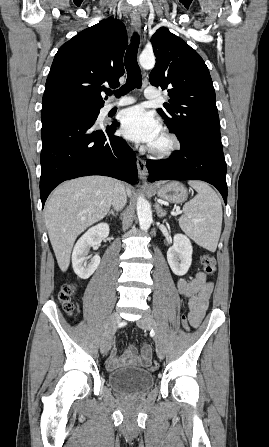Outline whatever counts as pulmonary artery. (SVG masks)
Listing matches in <instances>:
<instances>
[{"label": "pulmonary artery", "mask_w": 269, "mask_h": 447, "mask_svg": "<svg viewBox=\"0 0 269 447\" xmlns=\"http://www.w3.org/2000/svg\"><path fill=\"white\" fill-rule=\"evenodd\" d=\"M144 96L147 99H154L159 96V93L154 87L149 86L144 90ZM135 102H136V98H134L132 96H128V95L121 96L111 102L106 103V105L104 106V110L109 111L115 107L124 106V105L132 104Z\"/></svg>", "instance_id": "e3ab8cb5"}]
</instances>
